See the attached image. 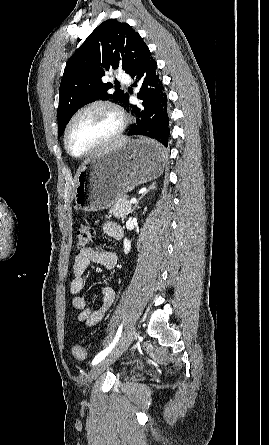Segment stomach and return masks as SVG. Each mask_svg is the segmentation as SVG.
<instances>
[{
  "mask_svg": "<svg viewBox=\"0 0 269 445\" xmlns=\"http://www.w3.org/2000/svg\"><path fill=\"white\" fill-rule=\"evenodd\" d=\"M148 139H132L90 158L76 178V207L86 212L107 209L140 184L156 179L166 165L165 153H151Z\"/></svg>",
  "mask_w": 269,
  "mask_h": 445,
  "instance_id": "1",
  "label": "stomach"
}]
</instances>
